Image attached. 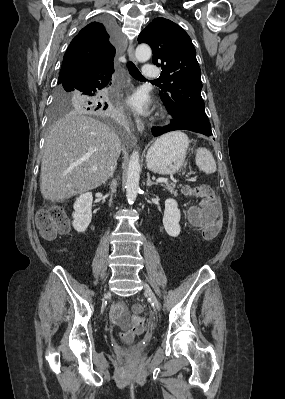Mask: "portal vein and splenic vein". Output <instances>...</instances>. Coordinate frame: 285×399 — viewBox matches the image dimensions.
Here are the masks:
<instances>
[{
    "label": "portal vein and splenic vein",
    "instance_id": "obj_1",
    "mask_svg": "<svg viewBox=\"0 0 285 399\" xmlns=\"http://www.w3.org/2000/svg\"><path fill=\"white\" fill-rule=\"evenodd\" d=\"M92 170L96 171L97 168L93 167ZM156 182L157 183H166V182H168V179L167 178H159V179L156 180Z\"/></svg>",
    "mask_w": 285,
    "mask_h": 399
}]
</instances>
